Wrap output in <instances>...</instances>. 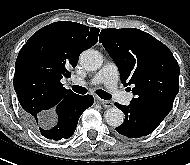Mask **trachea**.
<instances>
[{"mask_svg":"<svg viewBox=\"0 0 190 165\" xmlns=\"http://www.w3.org/2000/svg\"><path fill=\"white\" fill-rule=\"evenodd\" d=\"M72 90L78 94H86L87 93V89L85 87H82V86H78V85H73L72 86ZM96 94L102 98V99H105V100H109L111 99V95L107 92H105L104 90H101V89H98L96 90Z\"/></svg>","mask_w":190,"mask_h":165,"instance_id":"1","label":"trachea"}]
</instances>
